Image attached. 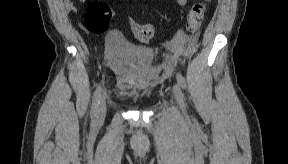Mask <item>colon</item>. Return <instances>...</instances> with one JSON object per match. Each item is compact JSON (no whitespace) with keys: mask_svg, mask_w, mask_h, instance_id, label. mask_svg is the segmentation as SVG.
Masks as SVG:
<instances>
[{"mask_svg":"<svg viewBox=\"0 0 288 164\" xmlns=\"http://www.w3.org/2000/svg\"><path fill=\"white\" fill-rule=\"evenodd\" d=\"M205 12V3H196L190 8L186 17V26L189 32L197 31L203 21ZM113 15L112 9L105 1H92L84 17V27L94 34H103L109 29ZM128 27L142 42H148L152 39V31L148 24H141L132 19L129 21Z\"/></svg>","mask_w":288,"mask_h":164,"instance_id":"1","label":"colon"}]
</instances>
